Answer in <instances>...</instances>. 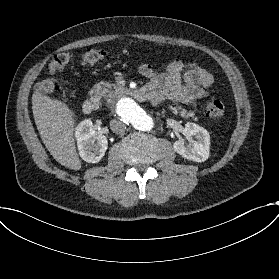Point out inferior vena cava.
I'll list each match as a JSON object with an SVG mask.
<instances>
[{
    "mask_svg": "<svg viewBox=\"0 0 279 279\" xmlns=\"http://www.w3.org/2000/svg\"><path fill=\"white\" fill-rule=\"evenodd\" d=\"M110 128L114 133L119 134L125 131L126 125L120 120L113 119L110 121Z\"/></svg>",
    "mask_w": 279,
    "mask_h": 279,
    "instance_id": "obj_1",
    "label": "inferior vena cava"
}]
</instances>
